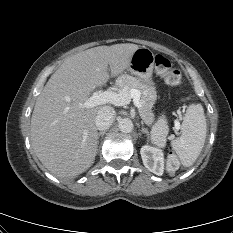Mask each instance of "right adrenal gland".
<instances>
[{
	"instance_id": "2a0ac1e0",
	"label": "right adrenal gland",
	"mask_w": 233,
	"mask_h": 233,
	"mask_svg": "<svg viewBox=\"0 0 233 233\" xmlns=\"http://www.w3.org/2000/svg\"><path fill=\"white\" fill-rule=\"evenodd\" d=\"M106 133V131H102L98 133V139L100 138V136H104V134Z\"/></svg>"
}]
</instances>
